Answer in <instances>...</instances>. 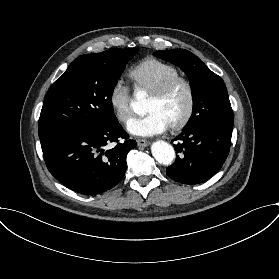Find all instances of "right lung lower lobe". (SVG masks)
<instances>
[{
  "mask_svg": "<svg viewBox=\"0 0 279 279\" xmlns=\"http://www.w3.org/2000/svg\"><path fill=\"white\" fill-rule=\"evenodd\" d=\"M111 142L117 145L104 152L103 148ZM135 146L136 141L129 139L117 121L65 135L42 151L49 172L59 182L77 193L93 196L121 181L127 167V153Z\"/></svg>",
  "mask_w": 279,
  "mask_h": 279,
  "instance_id": "98d812e1",
  "label": "right lung lower lobe"
}]
</instances>
